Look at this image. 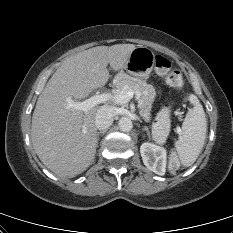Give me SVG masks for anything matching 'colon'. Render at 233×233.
Returning a JSON list of instances; mask_svg holds the SVG:
<instances>
[{
	"label": "colon",
	"instance_id": "1",
	"mask_svg": "<svg viewBox=\"0 0 233 233\" xmlns=\"http://www.w3.org/2000/svg\"><path fill=\"white\" fill-rule=\"evenodd\" d=\"M155 71L158 75L164 76L166 83L176 89L183 86V77L178 70L171 69L170 61L162 55L154 56ZM171 121V107H164L155 122L153 128V139L158 144H164L169 133ZM178 156L171 152L168 158V169L170 172H176L180 168Z\"/></svg>",
	"mask_w": 233,
	"mask_h": 233
}]
</instances>
